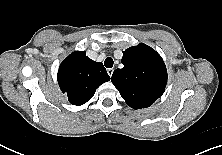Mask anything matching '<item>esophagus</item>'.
Segmentation results:
<instances>
[{
    "instance_id": "obj_1",
    "label": "esophagus",
    "mask_w": 222,
    "mask_h": 155,
    "mask_svg": "<svg viewBox=\"0 0 222 155\" xmlns=\"http://www.w3.org/2000/svg\"><path fill=\"white\" fill-rule=\"evenodd\" d=\"M113 71H114L113 68H108V69H107V73H108V75H109L110 77L112 76Z\"/></svg>"
}]
</instances>
